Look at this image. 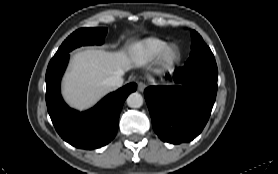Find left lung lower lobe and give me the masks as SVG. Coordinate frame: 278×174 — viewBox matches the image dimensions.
Listing matches in <instances>:
<instances>
[{"instance_id": "1", "label": "left lung lower lobe", "mask_w": 278, "mask_h": 174, "mask_svg": "<svg viewBox=\"0 0 278 174\" xmlns=\"http://www.w3.org/2000/svg\"><path fill=\"white\" fill-rule=\"evenodd\" d=\"M217 77L216 70L201 65L184 66L165 78L174 84L145 89L152 126L161 140L179 144L202 132L215 102Z\"/></svg>"}]
</instances>
